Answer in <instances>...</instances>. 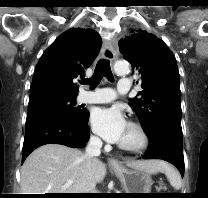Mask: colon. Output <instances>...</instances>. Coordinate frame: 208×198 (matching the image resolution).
<instances>
[{"label":"colon","instance_id":"5ec220e1","mask_svg":"<svg viewBox=\"0 0 208 198\" xmlns=\"http://www.w3.org/2000/svg\"><path fill=\"white\" fill-rule=\"evenodd\" d=\"M165 189H166V188L163 187V186H161V187L158 188V190H165Z\"/></svg>","mask_w":208,"mask_h":198}]
</instances>
